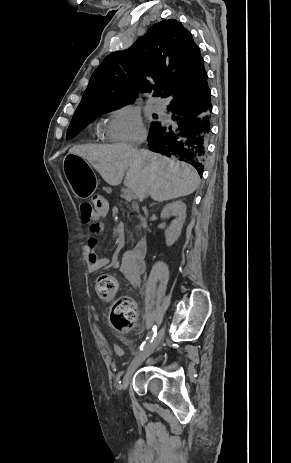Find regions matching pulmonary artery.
<instances>
[{
    "label": "pulmonary artery",
    "mask_w": 291,
    "mask_h": 463,
    "mask_svg": "<svg viewBox=\"0 0 291 463\" xmlns=\"http://www.w3.org/2000/svg\"><path fill=\"white\" fill-rule=\"evenodd\" d=\"M153 108L155 109V111H162L163 109V104L161 102H155L153 104Z\"/></svg>",
    "instance_id": "1"
}]
</instances>
